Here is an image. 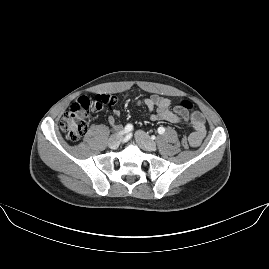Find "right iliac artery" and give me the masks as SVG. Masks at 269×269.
<instances>
[{
  "mask_svg": "<svg viewBox=\"0 0 269 269\" xmlns=\"http://www.w3.org/2000/svg\"><path fill=\"white\" fill-rule=\"evenodd\" d=\"M133 130V126L131 124H127L123 131L119 132L118 135H122L123 133H129Z\"/></svg>",
  "mask_w": 269,
  "mask_h": 269,
  "instance_id": "82829eb1",
  "label": "right iliac artery"
}]
</instances>
